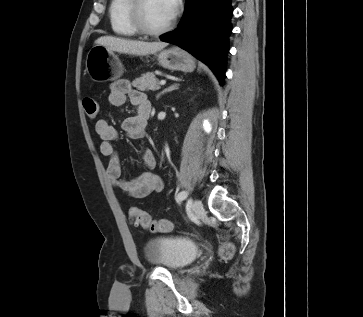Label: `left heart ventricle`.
<instances>
[{
	"instance_id": "1",
	"label": "left heart ventricle",
	"mask_w": 363,
	"mask_h": 317,
	"mask_svg": "<svg viewBox=\"0 0 363 317\" xmlns=\"http://www.w3.org/2000/svg\"><path fill=\"white\" fill-rule=\"evenodd\" d=\"M145 25L151 29H159L169 22L171 14L166 0H145L142 9Z\"/></svg>"
}]
</instances>
